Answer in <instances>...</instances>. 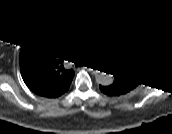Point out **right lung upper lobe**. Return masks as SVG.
<instances>
[{"label": "right lung upper lobe", "mask_w": 172, "mask_h": 134, "mask_svg": "<svg viewBox=\"0 0 172 134\" xmlns=\"http://www.w3.org/2000/svg\"><path fill=\"white\" fill-rule=\"evenodd\" d=\"M64 36L55 27H44L27 35L20 49V71L34 93L55 98L65 93L74 71L64 67Z\"/></svg>", "instance_id": "1"}]
</instances>
